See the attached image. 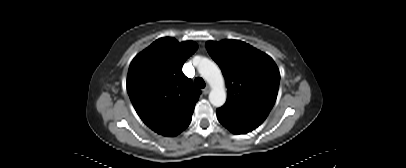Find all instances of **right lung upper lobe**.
<instances>
[{
  "label": "right lung upper lobe",
  "instance_id": "cb5924a9",
  "mask_svg": "<svg viewBox=\"0 0 406 168\" xmlns=\"http://www.w3.org/2000/svg\"><path fill=\"white\" fill-rule=\"evenodd\" d=\"M196 50L193 41L164 37L130 64L127 91L132 104L143 122L161 135L175 136L190 124L201 91L181 69Z\"/></svg>",
  "mask_w": 406,
  "mask_h": 168
}]
</instances>
